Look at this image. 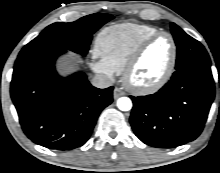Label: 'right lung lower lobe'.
Returning a JSON list of instances; mask_svg holds the SVG:
<instances>
[{"label": "right lung lower lobe", "mask_w": 220, "mask_h": 173, "mask_svg": "<svg viewBox=\"0 0 220 173\" xmlns=\"http://www.w3.org/2000/svg\"><path fill=\"white\" fill-rule=\"evenodd\" d=\"M66 50L49 48L18 56L11 81V97L26 136L55 150L85 144L100 112L112 103L113 87H93L82 72L60 77L56 58Z\"/></svg>", "instance_id": "98d812e1"}]
</instances>
